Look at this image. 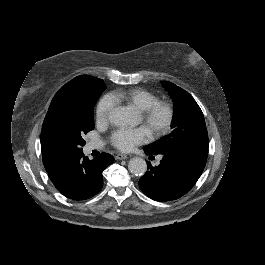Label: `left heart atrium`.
I'll return each mask as SVG.
<instances>
[{
  "label": "left heart atrium",
  "mask_w": 265,
  "mask_h": 265,
  "mask_svg": "<svg viewBox=\"0 0 265 265\" xmlns=\"http://www.w3.org/2000/svg\"><path fill=\"white\" fill-rule=\"evenodd\" d=\"M150 139V132L145 127H120L110 134L112 145L123 152H129L133 150L135 146L145 143Z\"/></svg>",
  "instance_id": "39dd6f15"
}]
</instances>
